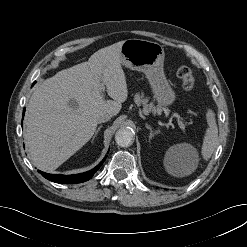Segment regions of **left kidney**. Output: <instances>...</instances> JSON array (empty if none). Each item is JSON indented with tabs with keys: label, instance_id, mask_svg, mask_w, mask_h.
I'll return each instance as SVG.
<instances>
[{
	"label": "left kidney",
	"instance_id": "obj_1",
	"mask_svg": "<svg viewBox=\"0 0 247 247\" xmlns=\"http://www.w3.org/2000/svg\"><path fill=\"white\" fill-rule=\"evenodd\" d=\"M193 152V147L189 144L183 143L172 146L168 149L165 155V164L171 162L174 164L176 160H179L180 157H188L190 153Z\"/></svg>",
	"mask_w": 247,
	"mask_h": 247
}]
</instances>
